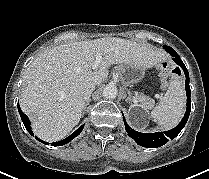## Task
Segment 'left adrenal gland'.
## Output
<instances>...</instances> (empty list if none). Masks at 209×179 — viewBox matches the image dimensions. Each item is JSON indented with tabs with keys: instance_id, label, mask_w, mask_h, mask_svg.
Segmentation results:
<instances>
[{
	"instance_id": "1",
	"label": "left adrenal gland",
	"mask_w": 209,
	"mask_h": 179,
	"mask_svg": "<svg viewBox=\"0 0 209 179\" xmlns=\"http://www.w3.org/2000/svg\"><path fill=\"white\" fill-rule=\"evenodd\" d=\"M127 100L129 101V102H131L132 100H131V97H127Z\"/></svg>"
}]
</instances>
